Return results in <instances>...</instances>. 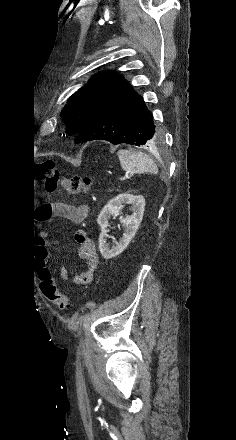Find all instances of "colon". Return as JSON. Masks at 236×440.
Here are the masks:
<instances>
[{
  "label": "colon",
  "instance_id": "5ec220e1",
  "mask_svg": "<svg viewBox=\"0 0 236 440\" xmlns=\"http://www.w3.org/2000/svg\"><path fill=\"white\" fill-rule=\"evenodd\" d=\"M38 179L48 192H53L61 187L68 193L76 194L88 191L92 185V179L87 176L61 178L56 163L50 159L41 163ZM45 276L46 279H43L40 284L42 293L49 301L55 303L59 309L67 310L70 306L69 298L54 284L56 279L53 276L49 277L47 273Z\"/></svg>",
  "mask_w": 236,
  "mask_h": 440
}]
</instances>
